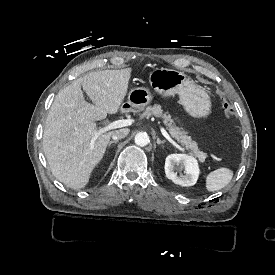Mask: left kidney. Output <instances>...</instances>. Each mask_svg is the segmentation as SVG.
Returning <instances> with one entry per match:
<instances>
[{"label": "left kidney", "instance_id": "5707ae66", "mask_svg": "<svg viewBox=\"0 0 275 275\" xmlns=\"http://www.w3.org/2000/svg\"><path fill=\"white\" fill-rule=\"evenodd\" d=\"M181 164L185 168L186 175L178 177L174 172V165ZM200 169L198 161L186 154H170L165 160L166 177L172 180L175 184L181 186H193L196 184L199 177Z\"/></svg>", "mask_w": 275, "mask_h": 275}]
</instances>
